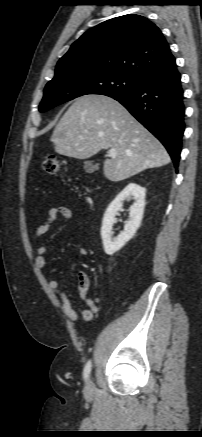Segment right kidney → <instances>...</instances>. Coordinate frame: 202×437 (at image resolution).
Returning <instances> with one entry per match:
<instances>
[{
    "mask_svg": "<svg viewBox=\"0 0 202 437\" xmlns=\"http://www.w3.org/2000/svg\"><path fill=\"white\" fill-rule=\"evenodd\" d=\"M146 189L136 183L128 184L110 203L102 221L101 237L103 240L104 251L107 255H113L120 250L130 239L133 238L140 227L144 207ZM133 199L134 203L130 207L129 220L124 226V231L112 238V226L115 222L117 212L122 208L123 201Z\"/></svg>",
    "mask_w": 202,
    "mask_h": 437,
    "instance_id": "ca27d5eb",
    "label": "right kidney"
}]
</instances>
